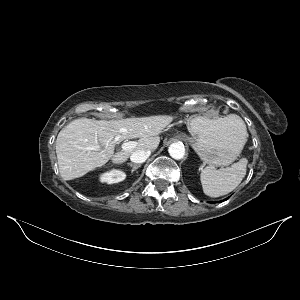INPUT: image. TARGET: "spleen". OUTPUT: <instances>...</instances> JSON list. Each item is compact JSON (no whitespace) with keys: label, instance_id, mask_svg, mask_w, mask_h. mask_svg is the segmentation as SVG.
<instances>
[{"label":"spleen","instance_id":"spleen-1","mask_svg":"<svg viewBox=\"0 0 300 300\" xmlns=\"http://www.w3.org/2000/svg\"><path fill=\"white\" fill-rule=\"evenodd\" d=\"M231 116V117H229ZM228 119L233 121V125L243 134L244 142L247 141V130L244 121L238 115H228ZM248 160L240 159L231 167L216 170L213 166H207L201 171L200 180L203 192L210 197H219L233 191L246 175Z\"/></svg>","mask_w":300,"mask_h":300}]
</instances>
